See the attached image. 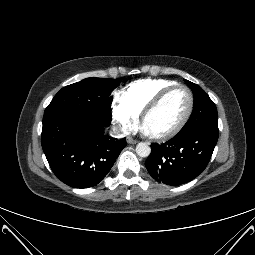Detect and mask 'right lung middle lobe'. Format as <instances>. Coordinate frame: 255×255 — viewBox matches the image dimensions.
Segmentation results:
<instances>
[{"label":"right lung middle lobe","instance_id":"obj_1","mask_svg":"<svg viewBox=\"0 0 255 255\" xmlns=\"http://www.w3.org/2000/svg\"><path fill=\"white\" fill-rule=\"evenodd\" d=\"M119 82L110 78H86L62 88L52 99L44 115L74 111L89 115L102 124H110L111 92Z\"/></svg>","mask_w":255,"mask_h":255}]
</instances>
